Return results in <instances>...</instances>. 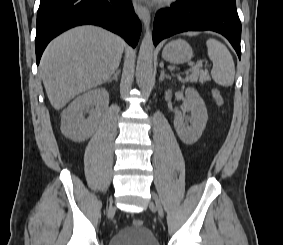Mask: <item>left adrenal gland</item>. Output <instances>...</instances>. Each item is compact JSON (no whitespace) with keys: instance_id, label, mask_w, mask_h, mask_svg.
<instances>
[{"instance_id":"1","label":"left adrenal gland","mask_w":283,"mask_h":245,"mask_svg":"<svg viewBox=\"0 0 283 245\" xmlns=\"http://www.w3.org/2000/svg\"><path fill=\"white\" fill-rule=\"evenodd\" d=\"M165 78L171 79V77H170L169 75H166V74H165L164 69H162L161 72H160L159 81L162 82Z\"/></svg>"}]
</instances>
